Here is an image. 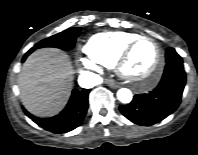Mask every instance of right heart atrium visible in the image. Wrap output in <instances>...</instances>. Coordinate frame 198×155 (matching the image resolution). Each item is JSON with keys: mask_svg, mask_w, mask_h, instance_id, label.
Wrapping results in <instances>:
<instances>
[{"mask_svg": "<svg viewBox=\"0 0 198 155\" xmlns=\"http://www.w3.org/2000/svg\"><path fill=\"white\" fill-rule=\"evenodd\" d=\"M80 63L87 69L100 72L101 65L90 57H82L79 59Z\"/></svg>", "mask_w": 198, "mask_h": 155, "instance_id": "right-heart-atrium-1", "label": "right heart atrium"}]
</instances>
